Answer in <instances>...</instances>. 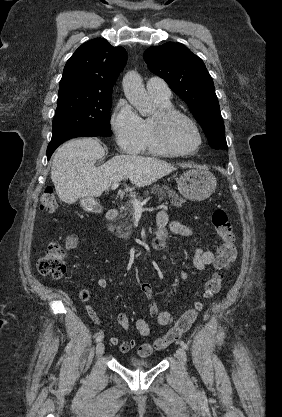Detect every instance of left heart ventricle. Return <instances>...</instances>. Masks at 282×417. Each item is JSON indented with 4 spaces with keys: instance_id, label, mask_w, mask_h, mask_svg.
<instances>
[{
    "instance_id": "b2bd125f",
    "label": "left heart ventricle",
    "mask_w": 282,
    "mask_h": 417,
    "mask_svg": "<svg viewBox=\"0 0 282 417\" xmlns=\"http://www.w3.org/2000/svg\"><path fill=\"white\" fill-rule=\"evenodd\" d=\"M167 135L174 145L181 148L193 149L197 144V138L193 131L183 121L178 119L170 123Z\"/></svg>"
}]
</instances>
